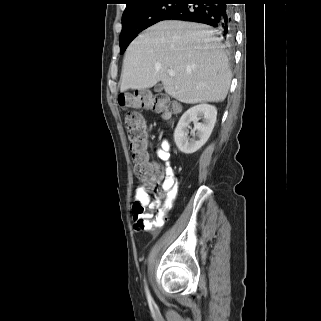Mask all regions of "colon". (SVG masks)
I'll return each instance as SVG.
<instances>
[{
	"instance_id": "obj_1",
	"label": "colon",
	"mask_w": 321,
	"mask_h": 321,
	"mask_svg": "<svg viewBox=\"0 0 321 321\" xmlns=\"http://www.w3.org/2000/svg\"><path fill=\"white\" fill-rule=\"evenodd\" d=\"M122 108H143L159 113L165 119L178 110V105L163 95L152 97L146 92L136 95H125L119 98ZM127 136L133 155L136 178L147 189H153L160 174L159 164L150 159L148 153L147 127L143 116L137 111H130L125 117ZM136 212H142L140 205H135ZM168 211H163L166 216Z\"/></svg>"
}]
</instances>
